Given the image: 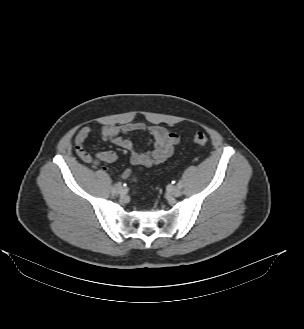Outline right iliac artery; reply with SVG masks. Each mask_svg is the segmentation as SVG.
Returning <instances> with one entry per match:
<instances>
[{
	"mask_svg": "<svg viewBox=\"0 0 304 329\" xmlns=\"http://www.w3.org/2000/svg\"><path fill=\"white\" fill-rule=\"evenodd\" d=\"M111 191H112L113 194L116 193V185L112 186Z\"/></svg>",
	"mask_w": 304,
	"mask_h": 329,
	"instance_id": "right-iliac-artery-1",
	"label": "right iliac artery"
}]
</instances>
